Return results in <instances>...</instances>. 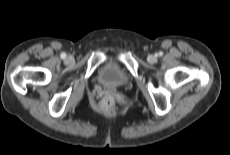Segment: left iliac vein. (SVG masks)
<instances>
[{
    "mask_svg": "<svg viewBox=\"0 0 230 155\" xmlns=\"http://www.w3.org/2000/svg\"><path fill=\"white\" fill-rule=\"evenodd\" d=\"M147 60H148V62L149 63H155L156 61H157V58H156V56L155 55H149L148 57H147Z\"/></svg>",
    "mask_w": 230,
    "mask_h": 155,
    "instance_id": "4c4485c4",
    "label": "left iliac vein"
}]
</instances>
